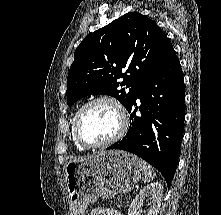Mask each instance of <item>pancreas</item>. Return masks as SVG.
<instances>
[{"label": "pancreas", "instance_id": "cf45deb5", "mask_svg": "<svg viewBox=\"0 0 221 215\" xmlns=\"http://www.w3.org/2000/svg\"><path fill=\"white\" fill-rule=\"evenodd\" d=\"M116 204H117V206L118 207H121L122 206V201H121V199L118 197V198H116ZM123 203H125V202H123Z\"/></svg>", "mask_w": 221, "mask_h": 215}]
</instances>
